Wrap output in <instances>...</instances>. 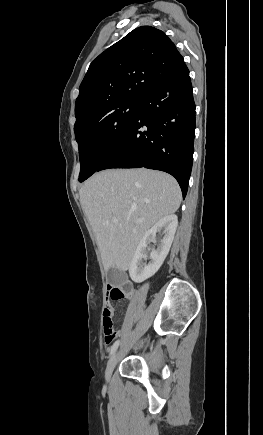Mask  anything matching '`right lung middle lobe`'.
Here are the masks:
<instances>
[{
  "label": "right lung middle lobe",
  "mask_w": 263,
  "mask_h": 435,
  "mask_svg": "<svg viewBox=\"0 0 263 435\" xmlns=\"http://www.w3.org/2000/svg\"><path fill=\"white\" fill-rule=\"evenodd\" d=\"M142 100L126 99L95 111L74 128L79 148V182L89 178L103 164L129 129Z\"/></svg>",
  "instance_id": "obj_1"
}]
</instances>
